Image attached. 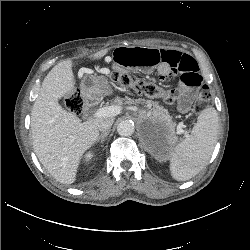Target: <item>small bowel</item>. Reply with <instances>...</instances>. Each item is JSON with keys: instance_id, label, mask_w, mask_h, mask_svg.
<instances>
[{"instance_id": "1", "label": "small bowel", "mask_w": 250, "mask_h": 250, "mask_svg": "<svg viewBox=\"0 0 250 250\" xmlns=\"http://www.w3.org/2000/svg\"><path fill=\"white\" fill-rule=\"evenodd\" d=\"M113 66L122 71H132L143 75L157 73L161 80L170 76H180L181 98L178 109L188 110L194 90L202 85V77L197 62L185 53L158 48L118 47L112 56Z\"/></svg>"}]
</instances>
